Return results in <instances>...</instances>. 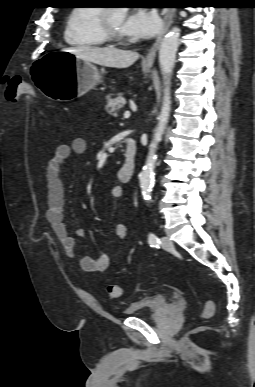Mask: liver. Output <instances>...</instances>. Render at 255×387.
I'll return each instance as SVG.
<instances>
[{
  "label": "liver",
  "mask_w": 255,
  "mask_h": 387,
  "mask_svg": "<svg viewBox=\"0 0 255 387\" xmlns=\"http://www.w3.org/2000/svg\"><path fill=\"white\" fill-rule=\"evenodd\" d=\"M62 51H68L83 61L118 69L130 67L139 58L137 52L107 47L81 46L63 49Z\"/></svg>",
  "instance_id": "1"
}]
</instances>
